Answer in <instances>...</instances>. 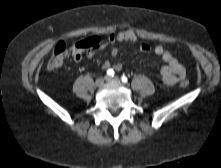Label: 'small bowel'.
I'll list each match as a JSON object with an SVG mask.
<instances>
[{"label": "small bowel", "mask_w": 221, "mask_h": 168, "mask_svg": "<svg viewBox=\"0 0 221 168\" xmlns=\"http://www.w3.org/2000/svg\"><path fill=\"white\" fill-rule=\"evenodd\" d=\"M108 43L112 44L109 40ZM139 50L141 52H148L152 50L155 55L162 58L165 64L160 69V75L162 81L166 85H174L185 78V67L163 46L156 45L152 48L148 43L143 42L139 45ZM118 52V48L116 47L111 49L112 56H116ZM94 54L95 52L91 50L88 51L87 56L91 58L94 56ZM102 67L104 69H114L115 71H120L122 69V64L120 62L105 61L103 62Z\"/></svg>", "instance_id": "c3829d8e"}]
</instances>
